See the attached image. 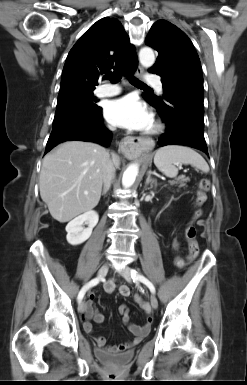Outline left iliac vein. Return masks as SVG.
<instances>
[{"mask_svg": "<svg viewBox=\"0 0 247 385\" xmlns=\"http://www.w3.org/2000/svg\"><path fill=\"white\" fill-rule=\"evenodd\" d=\"M120 273L125 278V280H127L128 282L132 281V270L130 267L125 266L124 268H122ZM150 303L152 308L156 309L158 307V300L154 295L150 296Z\"/></svg>", "mask_w": 247, "mask_h": 385, "instance_id": "4c4485c4", "label": "left iliac vein"}]
</instances>
